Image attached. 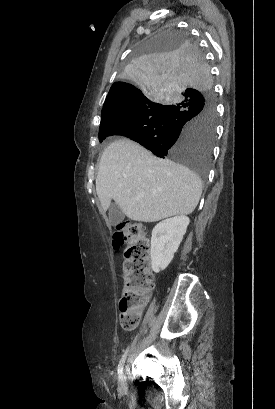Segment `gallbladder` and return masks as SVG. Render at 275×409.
<instances>
[{"label":"gallbladder","mask_w":275,"mask_h":409,"mask_svg":"<svg viewBox=\"0 0 275 409\" xmlns=\"http://www.w3.org/2000/svg\"><path fill=\"white\" fill-rule=\"evenodd\" d=\"M108 215L109 223L112 225V227H116V225L122 223L125 217L124 213H122L121 209H119L118 205H116V202H111Z\"/></svg>","instance_id":"1"}]
</instances>
